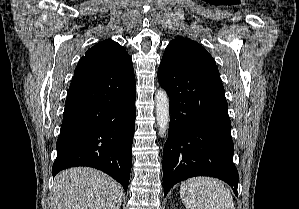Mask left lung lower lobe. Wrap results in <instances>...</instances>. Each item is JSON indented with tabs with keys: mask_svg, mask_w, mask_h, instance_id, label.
<instances>
[{
	"mask_svg": "<svg viewBox=\"0 0 299 209\" xmlns=\"http://www.w3.org/2000/svg\"><path fill=\"white\" fill-rule=\"evenodd\" d=\"M158 81L169 95L171 114L163 150L164 195L187 178L212 176L228 183L237 196L239 176L219 73L160 64Z\"/></svg>",
	"mask_w": 299,
	"mask_h": 209,
	"instance_id": "0a47b994",
	"label": "left lung lower lobe"
}]
</instances>
